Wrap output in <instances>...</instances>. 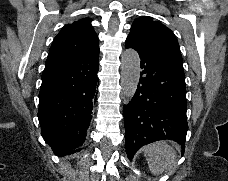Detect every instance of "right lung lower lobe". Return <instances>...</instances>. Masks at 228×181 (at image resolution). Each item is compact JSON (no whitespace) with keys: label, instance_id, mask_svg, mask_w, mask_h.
Here are the masks:
<instances>
[{"label":"right lung lower lobe","instance_id":"right-lung-lower-lobe-1","mask_svg":"<svg viewBox=\"0 0 228 181\" xmlns=\"http://www.w3.org/2000/svg\"><path fill=\"white\" fill-rule=\"evenodd\" d=\"M99 49L46 65L39 93L41 134L58 156L70 155L85 140L96 92Z\"/></svg>","mask_w":228,"mask_h":181}]
</instances>
